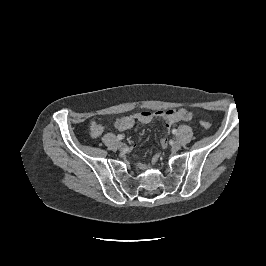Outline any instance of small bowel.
I'll return each mask as SVG.
<instances>
[{
    "instance_id": "obj_1",
    "label": "small bowel",
    "mask_w": 266,
    "mask_h": 266,
    "mask_svg": "<svg viewBox=\"0 0 266 266\" xmlns=\"http://www.w3.org/2000/svg\"><path fill=\"white\" fill-rule=\"evenodd\" d=\"M193 114L186 109H171L167 111H143L132 115L123 116L115 122V127L119 131H126L132 129L136 124H149L154 120L163 119L165 121V128L168 131L175 123L180 121H190ZM103 133V126L93 121L90 125V134L93 138H98ZM162 146H167V137H162L160 140ZM157 157L154 158V161Z\"/></svg>"
}]
</instances>
